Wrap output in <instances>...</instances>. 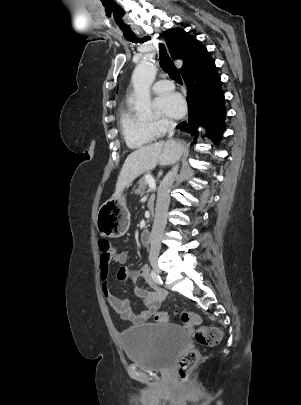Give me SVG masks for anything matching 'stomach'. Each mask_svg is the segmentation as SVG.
Wrapping results in <instances>:
<instances>
[{
  "mask_svg": "<svg viewBox=\"0 0 301 405\" xmlns=\"http://www.w3.org/2000/svg\"><path fill=\"white\" fill-rule=\"evenodd\" d=\"M96 226L101 235L109 238L123 236L130 226V214L122 192L106 201L97 213Z\"/></svg>",
  "mask_w": 301,
  "mask_h": 405,
  "instance_id": "stomach-1",
  "label": "stomach"
}]
</instances>
